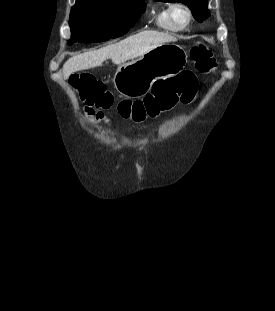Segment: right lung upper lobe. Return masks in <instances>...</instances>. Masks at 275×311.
<instances>
[{
	"instance_id": "1",
	"label": "right lung upper lobe",
	"mask_w": 275,
	"mask_h": 311,
	"mask_svg": "<svg viewBox=\"0 0 275 311\" xmlns=\"http://www.w3.org/2000/svg\"><path fill=\"white\" fill-rule=\"evenodd\" d=\"M85 1H90V0H76L77 3L85 2Z\"/></svg>"
}]
</instances>
